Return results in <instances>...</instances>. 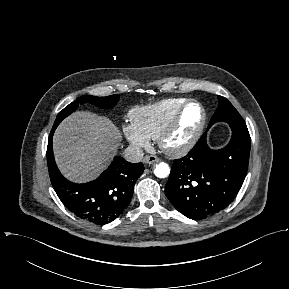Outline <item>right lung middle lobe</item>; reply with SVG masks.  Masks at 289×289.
Returning a JSON list of instances; mask_svg holds the SVG:
<instances>
[{
	"instance_id": "obj_1",
	"label": "right lung middle lobe",
	"mask_w": 289,
	"mask_h": 289,
	"mask_svg": "<svg viewBox=\"0 0 289 289\" xmlns=\"http://www.w3.org/2000/svg\"><path fill=\"white\" fill-rule=\"evenodd\" d=\"M118 101H119L118 95H111L107 97H94L90 95H84L79 99L75 100L74 102H72L71 104H69L67 107H65L62 111L59 112L54 122L53 128H56L65 117L70 115L78 108V106L84 103H90L105 109H112L117 104Z\"/></svg>"
}]
</instances>
